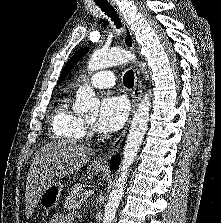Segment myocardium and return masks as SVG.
I'll return each mask as SVG.
<instances>
[{"label": "myocardium", "instance_id": "f54148a6", "mask_svg": "<svg viewBox=\"0 0 221 223\" xmlns=\"http://www.w3.org/2000/svg\"><path fill=\"white\" fill-rule=\"evenodd\" d=\"M85 125L89 129L88 136L92 137L93 136V132H92L93 131V124L88 122V121H85Z\"/></svg>", "mask_w": 221, "mask_h": 223}]
</instances>
